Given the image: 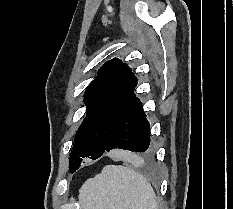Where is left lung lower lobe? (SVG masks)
Listing matches in <instances>:
<instances>
[{
  "label": "left lung lower lobe",
  "mask_w": 233,
  "mask_h": 209,
  "mask_svg": "<svg viewBox=\"0 0 233 209\" xmlns=\"http://www.w3.org/2000/svg\"><path fill=\"white\" fill-rule=\"evenodd\" d=\"M149 130V122L146 119L140 99L136 98L131 108L113 130L105 152L113 149L146 152L150 144ZM79 167L80 165L71 173H74Z\"/></svg>",
  "instance_id": "obj_1"
}]
</instances>
